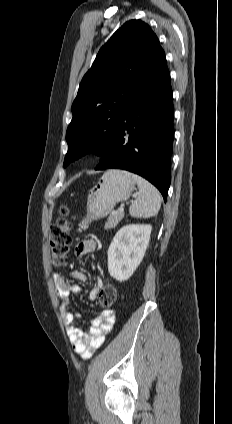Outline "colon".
Returning <instances> with one entry per match:
<instances>
[{
  "mask_svg": "<svg viewBox=\"0 0 232 424\" xmlns=\"http://www.w3.org/2000/svg\"><path fill=\"white\" fill-rule=\"evenodd\" d=\"M73 217L67 207H62L55 224L50 228V255L54 266L62 265L67 257L72 241ZM117 300V290L112 284H105L98 293L102 308H111Z\"/></svg>",
  "mask_w": 232,
  "mask_h": 424,
  "instance_id": "1",
  "label": "colon"
}]
</instances>
